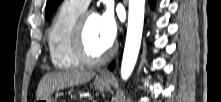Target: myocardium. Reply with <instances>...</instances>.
Listing matches in <instances>:
<instances>
[{
	"label": "myocardium",
	"instance_id": "obj_1",
	"mask_svg": "<svg viewBox=\"0 0 221 102\" xmlns=\"http://www.w3.org/2000/svg\"><path fill=\"white\" fill-rule=\"evenodd\" d=\"M92 15L90 12H83L78 18L73 34H72V49L75 57L81 64L88 66H97L105 62L113 53V46L110 45L101 55L91 56L85 44V27L87 18Z\"/></svg>",
	"mask_w": 221,
	"mask_h": 102
}]
</instances>
